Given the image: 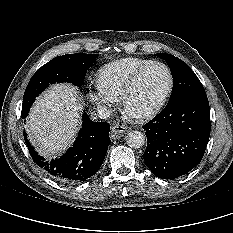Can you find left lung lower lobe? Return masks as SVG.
<instances>
[{
  "mask_svg": "<svg viewBox=\"0 0 233 233\" xmlns=\"http://www.w3.org/2000/svg\"><path fill=\"white\" fill-rule=\"evenodd\" d=\"M207 97H187L170 102L143 126L147 148L145 165L157 177L174 179L191 171L205 153L210 136Z\"/></svg>",
  "mask_w": 233,
  "mask_h": 233,
  "instance_id": "obj_1",
  "label": "left lung lower lobe"
}]
</instances>
